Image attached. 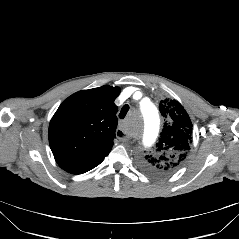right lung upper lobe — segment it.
Masks as SVG:
<instances>
[{"mask_svg":"<svg viewBox=\"0 0 239 239\" xmlns=\"http://www.w3.org/2000/svg\"><path fill=\"white\" fill-rule=\"evenodd\" d=\"M118 87L79 91L62 102L49 125V144L58 165L85 173L109 154L115 138Z\"/></svg>","mask_w":239,"mask_h":239,"instance_id":"1","label":"right lung upper lobe"}]
</instances>
